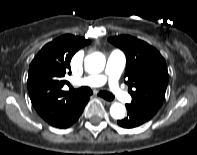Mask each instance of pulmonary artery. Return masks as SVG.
Segmentation results:
<instances>
[{"label": "pulmonary artery", "instance_id": "e3ab8cb5", "mask_svg": "<svg viewBox=\"0 0 197 155\" xmlns=\"http://www.w3.org/2000/svg\"><path fill=\"white\" fill-rule=\"evenodd\" d=\"M125 65V55L120 50H113L110 54L104 74L93 75L78 80L77 85L98 87L105 83L109 84L113 94L122 101L130 100L129 96L120 88L118 79Z\"/></svg>", "mask_w": 197, "mask_h": 155}]
</instances>
